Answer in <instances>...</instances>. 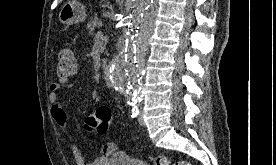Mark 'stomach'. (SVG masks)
Wrapping results in <instances>:
<instances>
[{
    "label": "stomach",
    "instance_id": "stomach-1",
    "mask_svg": "<svg viewBox=\"0 0 276 165\" xmlns=\"http://www.w3.org/2000/svg\"><path fill=\"white\" fill-rule=\"evenodd\" d=\"M85 18V7L76 0L64 4L59 13L60 22L67 26L83 22Z\"/></svg>",
    "mask_w": 276,
    "mask_h": 165
}]
</instances>
